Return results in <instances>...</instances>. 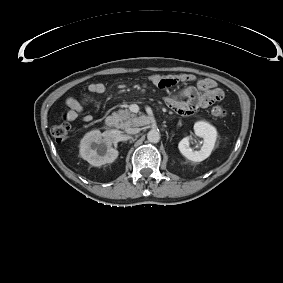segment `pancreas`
Instances as JSON below:
<instances>
[{
  "label": "pancreas",
  "mask_w": 283,
  "mask_h": 283,
  "mask_svg": "<svg viewBox=\"0 0 283 283\" xmlns=\"http://www.w3.org/2000/svg\"><path fill=\"white\" fill-rule=\"evenodd\" d=\"M113 117L116 120V126L118 128L124 129L129 126H139L140 118L136 114L131 113L128 109H121L113 113Z\"/></svg>",
  "instance_id": "obj_1"
}]
</instances>
